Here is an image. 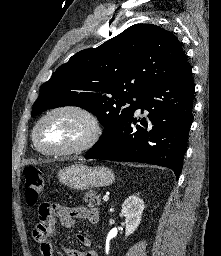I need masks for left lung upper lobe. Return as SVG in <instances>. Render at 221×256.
Returning a JSON list of instances; mask_svg holds the SVG:
<instances>
[{"label": "left lung upper lobe", "mask_w": 221, "mask_h": 256, "mask_svg": "<svg viewBox=\"0 0 221 256\" xmlns=\"http://www.w3.org/2000/svg\"><path fill=\"white\" fill-rule=\"evenodd\" d=\"M186 63L171 32L153 24L132 25L101 46L76 53L57 68L41 86L31 115L78 106L97 116L104 135L128 121L143 97Z\"/></svg>", "instance_id": "5c2ea615"}]
</instances>
